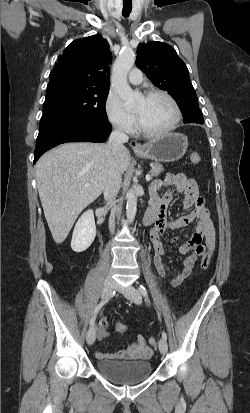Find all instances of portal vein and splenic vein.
<instances>
[{
	"label": "portal vein and splenic vein",
	"mask_w": 250,
	"mask_h": 413,
	"mask_svg": "<svg viewBox=\"0 0 250 413\" xmlns=\"http://www.w3.org/2000/svg\"><path fill=\"white\" fill-rule=\"evenodd\" d=\"M150 180H151V176L149 174L146 175V181L149 182ZM85 186L88 187V186H90V184L86 183Z\"/></svg>",
	"instance_id": "obj_1"
}]
</instances>
